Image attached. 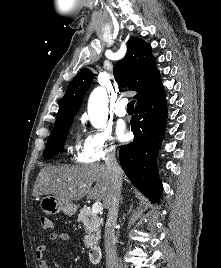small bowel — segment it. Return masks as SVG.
Instances as JSON below:
<instances>
[{"mask_svg": "<svg viewBox=\"0 0 221 268\" xmlns=\"http://www.w3.org/2000/svg\"><path fill=\"white\" fill-rule=\"evenodd\" d=\"M69 235L64 232H52L49 234V240L51 242H58L61 240H68ZM48 250V246L42 244L38 246L35 250V257L38 261L39 268H50L48 262L45 260V255Z\"/></svg>", "mask_w": 221, "mask_h": 268, "instance_id": "1", "label": "small bowel"}]
</instances>
